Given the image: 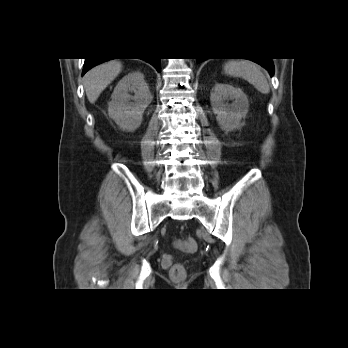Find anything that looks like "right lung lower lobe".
<instances>
[{"mask_svg":"<svg viewBox=\"0 0 348 348\" xmlns=\"http://www.w3.org/2000/svg\"><path fill=\"white\" fill-rule=\"evenodd\" d=\"M107 61L106 59H101V58H86L84 67H83V72L82 75H84L89 69L92 67ZM147 62H149L151 65H153L158 72L161 70L160 66V59L159 58H151V59H146Z\"/></svg>","mask_w":348,"mask_h":348,"instance_id":"obj_1","label":"right lung lower lobe"}]
</instances>
